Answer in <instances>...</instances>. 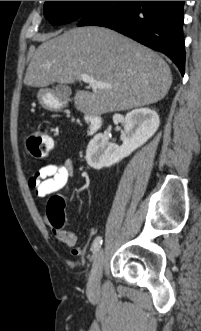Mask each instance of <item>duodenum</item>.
<instances>
[{"instance_id":"1","label":"duodenum","mask_w":201,"mask_h":331,"mask_svg":"<svg viewBox=\"0 0 201 331\" xmlns=\"http://www.w3.org/2000/svg\"><path fill=\"white\" fill-rule=\"evenodd\" d=\"M85 120L87 123V134L88 135H93L94 133H96L99 128L102 125L103 119L101 116L99 115H94V114H87L85 116Z\"/></svg>"}]
</instances>
